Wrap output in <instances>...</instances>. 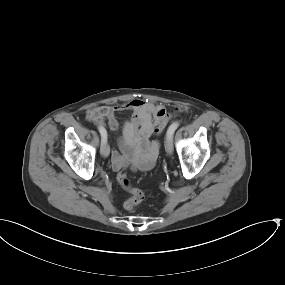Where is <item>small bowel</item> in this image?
<instances>
[{
	"label": "small bowel",
	"instance_id": "1",
	"mask_svg": "<svg viewBox=\"0 0 285 285\" xmlns=\"http://www.w3.org/2000/svg\"><path fill=\"white\" fill-rule=\"evenodd\" d=\"M162 106L151 102L134 99L125 104L101 105L86 111V119L93 123L106 124L112 131L119 127L116 114L129 110L132 118L123 126L120 145L124 155L112 151L113 169L125 168L146 171L151 169L159 153V144L150 140L154 127L159 119L158 113Z\"/></svg>",
	"mask_w": 285,
	"mask_h": 285
}]
</instances>
